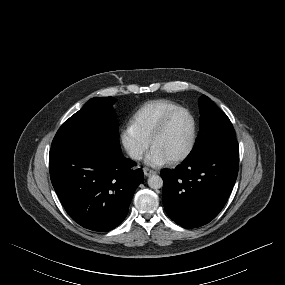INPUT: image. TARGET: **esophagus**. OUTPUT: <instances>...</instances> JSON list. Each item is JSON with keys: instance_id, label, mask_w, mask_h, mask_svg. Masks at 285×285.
Returning a JSON list of instances; mask_svg holds the SVG:
<instances>
[{"instance_id": "1", "label": "esophagus", "mask_w": 285, "mask_h": 285, "mask_svg": "<svg viewBox=\"0 0 285 285\" xmlns=\"http://www.w3.org/2000/svg\"><path fill=\"white\" fill-rule=\"evenodd\" d=\"M143 172L145 176H151L152 174H155L156 172L150 168H143Z\"/></svg>"}]
</instances>
